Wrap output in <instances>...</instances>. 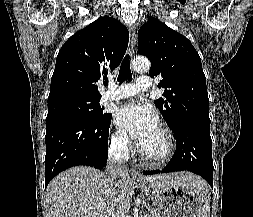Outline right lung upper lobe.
<instances>
[{
	"instance_id": "1",
	"label": "right lung upper lobe",
	"mask_w": 253,
	"mask_h": 217,
	"mask_svg": "<svg viewBox=\"0 0 253 217\" xmlns=\"http://www.w3.org/2000/svg\"><path fill=\"white\" fill-rule=\"evenodd\" d=\"M125 26L100 17L72 35L60 49L48 102L67 97L100 98L97 81L119 66L128 46Z\"/></svg>"
}]
</instances>
